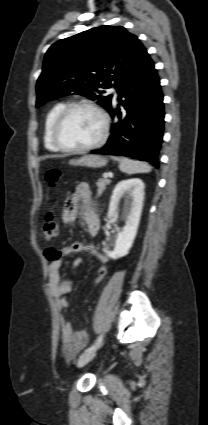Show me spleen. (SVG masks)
Instances as JSON below:
<instances>
[{
    "label": "spleen",
    "instance_id": "1",
    "mask_svg": "<svg viewBox=\"0 0 208 425\" xmlns=\"http://www.w3.org/2000/svg\"><path fill=\"white\" fill-rule=\"evenodd\" d=\"M119 168L127 174L148 173L152 170L151 166L146 162L131 160L125 157H117Z\"/></svg>",
    "mask_w": 208,
    "mask_h": 425
}]
</instances>
